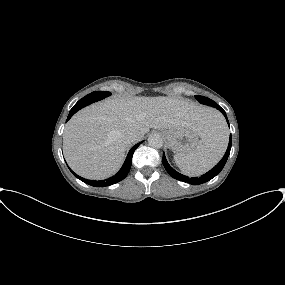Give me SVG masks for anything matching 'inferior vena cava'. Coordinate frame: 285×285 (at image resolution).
<instances>
[{
    "mask_svg": "<svg viewBox=\"0 0 285 285\" xmlns=\"http://www.w3.org/2000/svg\"><path fill=\"white\" fill-rule=\"evenodd\" d=\"M123 139H124L125 143L131 144V143H134V142H137L138 140H140V137L138 134H136L134 132H127L123 135Z\"/></svg>",
    "mask_w": 285,
    "mask_h": 285,
    "instance_id": "obj_1",
    "label": "inferior vena cava"
}]
</instances>
